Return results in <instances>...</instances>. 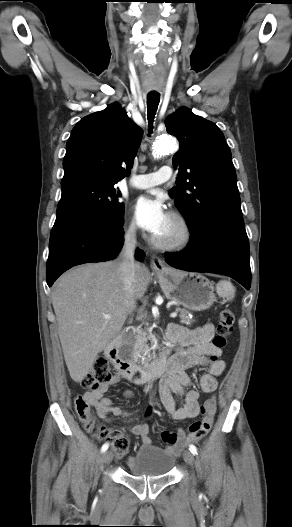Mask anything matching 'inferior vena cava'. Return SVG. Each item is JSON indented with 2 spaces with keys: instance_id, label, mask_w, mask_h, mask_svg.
Here are the masks:
<instances>
[{
  "instance_id": "obj_1",
  "label": "inferior vena cava",
  "mask_w": 292,
  "mask_h": 527,
  "mask_svg": "<svg viewBox=\"0 0 292 527\" xmlns=\"http://www.w3.org/2000/svg\"><path fill=\"white\" fill-rule=\"evenodd\" d=\"M136 249V232L135 227H130L125 234V241L118 260L120 261V268L122 272V281L124 285L126 304L131 308L129 314L136 307L135 300L133 299V284L135 281V262L134 254Z\"/></svg>"
}]
</instances>
